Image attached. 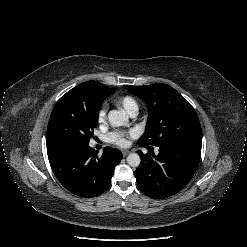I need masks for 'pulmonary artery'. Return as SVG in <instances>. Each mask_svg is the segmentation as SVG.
<instances>
[{"label":"pulmonary artery","instance_id":"e3ab8cb5","mask_svg":"<svg viewBox=\"0 0 247 247\" xmlns=\"http://www.w3.org/2000/svg\"><path fill=\"white\" fill-rule=\"evenodd\" d=\"M131 117H135L138 114V107H133L128 111Z\"/></svg>","mask_w":247,"mask_h":247}]
</instances>
